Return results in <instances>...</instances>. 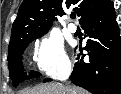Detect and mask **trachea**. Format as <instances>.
<instances>
[{
	"instance_id": "3493384b",
	"label": "trachea",
	"mask_w": 121,
	"mask_h": 94,
	"mask_svg": "<svg viewBox=\"0 0 121 94\" xmlns=\"http://www.w3.org/2000/svg\"><path fill=\"white\" fill-rule=\"evenodd\" d=\"M71 18L75 19L76 18V14L75 13L71 14Z\"/></svg>"
}]
</instances>
